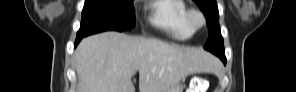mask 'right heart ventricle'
I'll use <instances>...</instances> for the list:
<instances>
[{
    "label": "right heart ventricle",
    "instance_id": "right-heart-ventricle-1",
    "mask_svg": "<svg viewBox=\"0 0 296 92\" xmlns=\"http://www.w3.org/2000/svg\"><path fill=\"white\" fill-rule=\"evenodd\" d=\"M188 7L181 0H159L153 3L150 22L176 39H188L193 31L187 23Z\"/></svg>",
    "mask_w": 296,
    "mask_h": 92
}]
</instances>
